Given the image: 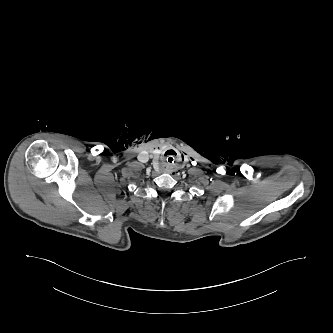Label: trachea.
I'll return each mask as SVG.
<instances>
[{"mask_svg": "<svg viewBox=\"0 0 333 333\" xmlns=\"http://www.w3.org/2000/svg\"><path fill=\"white\" fill-rule=\"evenodd\" d=\"M177 160H178V157L173 152L167 153L163 158L164 163L168 166L175 164L177 162Z\"/></svg>", "mask_w": 333, "mask_h": 333, "instance_id": "1", "label": "trachea"}]
</instances>
